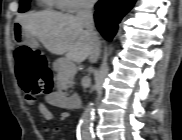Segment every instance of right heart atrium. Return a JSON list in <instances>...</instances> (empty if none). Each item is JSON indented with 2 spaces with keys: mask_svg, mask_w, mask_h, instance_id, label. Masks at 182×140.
Wrapping results in <instances>:
<instances>
[{
  "mask_svg": "<svg viewBox=\"0 0 182 140\" xmlns=\"http://www.w3.org/2000/svg\"><path fill=\"white\" fill-rule=\"evenodd\" d=\"M91 0H62L60 8L68 13H83L92 7Z\"/></svg>",
  "mask_w": 182,
  "mask_h": 140,
  "instance_id": "obj_1",
  "label": "right heart atrium"
}]
</instances>
